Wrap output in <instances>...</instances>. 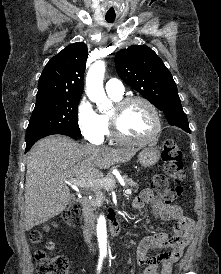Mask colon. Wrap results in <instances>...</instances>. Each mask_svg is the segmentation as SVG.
Masks as SVG:
<instances>
[{
    "mask_svg": "<svg viewBox=\"0 0 221 274\" xmlns=\"http://www.w3.org/2000/svg\"><path fill=\"white\" fill-rule=\"evenodd\" d=\"M163 170L165 175H156L153 178L154 190L167 202L172 203L178 199L182 192V183L186 174L182 162V154L174 140H166L162 150ZM172 178L174 186H169L168 179ZM81 208L78 204L70 205L61 215L59 221L53 222V226L62 224L68 228L77 227L81 222ZM49 227H47L48 229ZM30 240L33 243L42 242V233L33 230L30 233ZM52 244L48 243L45 249H38L35 253L38 274H70L69 262L66 257L52 256L49 251Z\"/></svg>",
    "mask_w": 221,
    "mask_h": 274,
    "instance_id": "5ec220e1",
    "label": "colon"
}]
</instances>
